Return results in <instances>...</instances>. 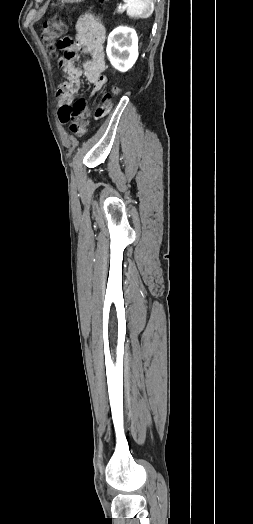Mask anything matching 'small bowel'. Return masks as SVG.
<instances>
[{
	"mask_svg": "<svg viewBox=\"0 0 253 524\" xmlns=\"http://www.w3.org/2000/svg\"><path fill=\"white\" fill-rule=\"evenodd\" d=\"M105 39V28L100 21L91 14L79 17L75 25V35L68 31L58 36L56 46L58 63L66 74L65 81L58 90L59 104L70 105L74 94L78 91L82 77L93 85L89 98H92L106 83L104 75L105 59L103 43ZM81 50L90 56V60L83 63L82 67L76 66L78 60L77 50ZM114 99L109 97L107 101H97L93 110L96 118H108L112 112Z\"/></svg>",
	"mask_w": 253,
	"mask_h": 524,
	"instance_id": "1",
	"label": "small bowel"
}]
</instances>
